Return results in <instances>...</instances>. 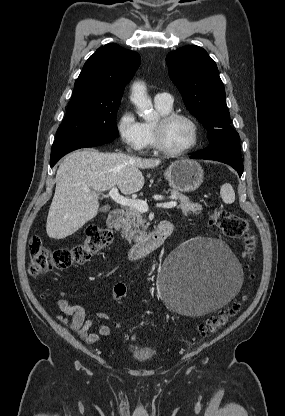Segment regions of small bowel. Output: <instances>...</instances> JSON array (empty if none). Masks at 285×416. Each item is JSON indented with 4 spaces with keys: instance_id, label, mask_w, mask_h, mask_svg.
<instances>
[{
    "instance_id": "obj_1",
    "label": "small bowel",
    "mask_w": 285,
    "mask_h": 416,
    "mask_svg": "<svg viewBox=\"0 0 285 416\" xmlns=\"http://www.w3.org/2000/svg\"><path fill=\"white\" fill-rule=\"evenodd\" d=\"M57 307L59 310L67 315L71 316V321L62 315H58L57 318L63 324L67 325L72 331H74L79 338L89 343H95L103 337H107L111 332V327L107 323L109 316L105 312H98L93 317H87L85 309L79 305H72L66 299H58ZM103 320L104 322H101ZM97 326V333H89V330Z\"/></svg>"
}]
</instances>
